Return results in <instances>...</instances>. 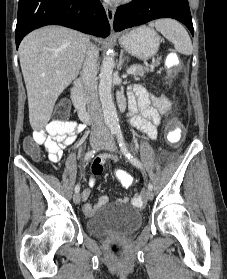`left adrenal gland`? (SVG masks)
Listing matches in <instances>:
<instances>
[{"instance_id":"left-adrenal-gland-1","label":"left adrenal gland","mask_w":227,"mask_h":279,"mask_svg":"<svg viewBox=\"0 0 227 279\" xmlns=\"http://www.w3.org/2000/svg\"><path fill=\"white\" fill-rule=\"evenodd\" d=\"M123 56H124V51L122 50L121 54H120V59H119V69H121V67H122V65L124 63Z\"/></svg>"}]
</instances>
